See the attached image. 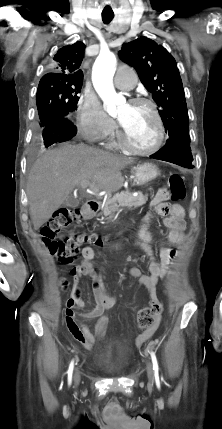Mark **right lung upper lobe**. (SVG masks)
<instances>
[{
	"label": "right lung upper lobe",
	"instance_id": "cb5924a9",
	"mask_svg": "<svg viewBox=\"0 0 222 429\" xmlns=\"http://www.w3.org/2000/svg\"><path fill=\"white\" fill-rule=\"evenodd\" d=\"M85 45L82 42H76L67 45L58 50L53 57L51 64L52 71L44 75L40 81H71L81 82L83 72L79 69L83 57Z\"/></svg>",
	"mask_w": 222,
	"mask_h": 429
}]
</instances>
